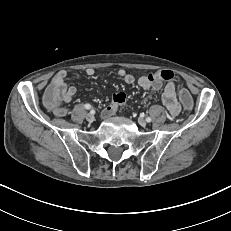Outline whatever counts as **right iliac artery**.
Segmentation results:
<instances>
[{"label":"right iliac artery","mask_w":231,"mask_h":231,"mask_svg":"<svg viewBox=\"0 0 231 231\" xmlns=\"http://www.w3.org/2000/svg\"><path fill=\"white\" fill-rule=\"evenodd\" d=\"M84 107H85V109H88V110L91 109V105L90 104H85Z\"/></svg>","instance_id":"obj_1"}]
</instances>
